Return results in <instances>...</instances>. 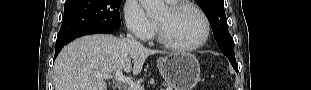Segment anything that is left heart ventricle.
I'll return each mask as SVG.
<instances>
[{"instance_id": "1", "label": "left heart ventricle", "mask_w": 311, "mask_h": 90, "mask_svg": "<svg viewBox=\"0 0 311 90\" xmlns=\"http://www.w3.org/2000/svg\"><path fill=\"white\" fill-rule=\"evenodd\" d=\"M156 21L161 24L168 39L177 45L195 44L204 34L202 19L189 8H183L174 14L166 8Z\"/></svg>"}]
</instances>
